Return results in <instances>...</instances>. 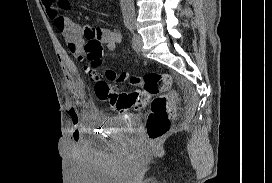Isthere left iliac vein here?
Masks as SVG:
<instances>
[{
  "label": "left iliac vein",
  "mask_w": 272,
  "mask_h": 183,
  "mask_svg": "<svg viewBox=\"0 0 272 183\" xmlns=\"http://www.w3.org/2000/svg\"><path fill=\"white\" fill-rule=\"evenodd\" d=\"M142 45H143L142 37L138 34H134L132 39L133 49L139 53L142 50Z\"/></svg>",
  "instance_id": "obj_1"
}]
</instances>
